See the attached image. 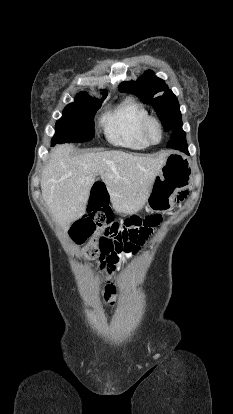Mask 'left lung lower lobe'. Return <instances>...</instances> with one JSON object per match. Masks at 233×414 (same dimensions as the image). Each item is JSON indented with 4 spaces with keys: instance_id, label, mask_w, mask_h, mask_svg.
I'll use <instances>...</instances> for the list:
<instances>
[{
    "instance_id": "left-lung-lower-lobe-1",
    "label": "left lung lower lobe",
    "mask_w": 233,
    "mask_h": 414,
    "mask_svg": "<svg viewBox=\"0 0 233 414\" xmlns=\"http://www.w3.org/2000/svg\"><path fill=\"white\" fill-rule=\"evenodd\" d=\"M167 147L188 153L185 132L182 130V122L175 127Z\"/></svg>"
}]
</instances>
